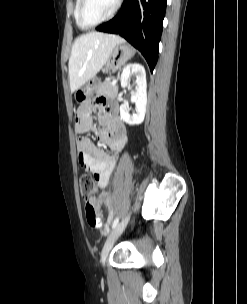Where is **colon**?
Instances as JSON below:
<instances>
[{
    "label": "colon",
    "mask_w": 247,
    "mask_h": 304,
    "mask_svg": "<svg viewBox=\"0 0 247 304\" xmlns=\"http://www.w3.org/2000/svg\"><path fill=\"white\" fill-rule=\"evenodd\" d=\"M79 189L85 201L86 218L90 226H100V205L107 201L108 194L103 192L98 197L93 198L96 192L95 180L89 174L81 175L79 179Z\"/></svg>",
    "instance_id": "1"
}]
</instances>
